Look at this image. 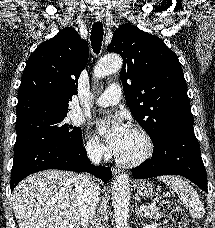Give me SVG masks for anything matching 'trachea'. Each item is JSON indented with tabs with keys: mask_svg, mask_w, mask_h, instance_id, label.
Returning a JSON list of instances; mask_svg holds the SVG:
<instances>
[{
	"mask_svg": "<svg viewBox=\"0 0 215 228\" xmlns=\"http://www.w3.org/2000/svg\"><path fill=\"white\" fill-rule=\"evenodd\" d=\"M103 25L101 22L94 23L91 31V45L95 53H99L102 46Z\"/></svg>",
	"mask_w": 215,
	"mask_h": 228,
	"instance_id": "trachea-1",
	"label": "trachea"
}]
</instances>
